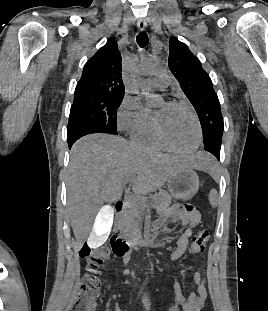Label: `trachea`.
<instances>
[{"instance_id": "1", "label": "trachea", "mask_w": 268, "mask_h": 311, "mask_svg": "<svg viewBox=\"0 0 268 311\" xmlns=\"http://www.w3.org/2000/svg\"><path fill=\"white\" fill-rule=\"evenodd\" d=\"M136 41L140 47H145L148 44V35L146 32L142 31L140 32L137 37Z\"/></svg>"}]
</instances>
